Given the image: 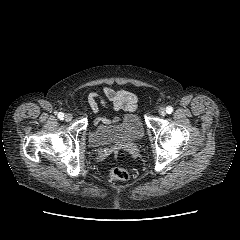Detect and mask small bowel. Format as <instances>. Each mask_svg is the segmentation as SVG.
I'll list each match as a JSON object with an SVG mask.
<instances>
[{"mask_svg": "<svg viewBox=\"0 0 240 240\" xmlns=\"http://www.w3.org/2000/svg\"><path fill=\"white\" fill-rule=\"evenodd\" d=\"M87 99L94 113H97L99 104L107 106L106 100L110 101L114 108L125 111L133 110L138 101V98L134 93L122 89H114L109 86H104L102 88V95L91 92L88 94ZM117 121L118 117H114L113 119L100 118L95 124L97 125L101 122L102 124L107 125Z\"/></svg>", "mask_w": 240, "mask_h": 240, "instance_id": "small-bowel-1", "label": "small bowel"}]
</instances>
